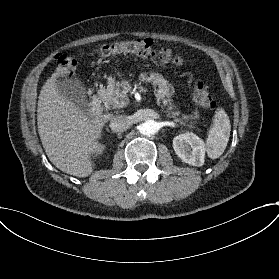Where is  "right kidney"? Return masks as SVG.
I'll use <instances>...</instances> for the list:
<instances>
[{
	"label": "right kidney",
	"instance_id": "1",
	"mask_svg": "<svg viewBox=\"0 0 279 279\" xmlns=\"http://www.w3.org/2000/svg\"><path fill=\"white\" fill-rule=\"evenodd\" d=\"M102 150H103V147H102V146L97 145V146H96V148L94 149V154H96V153H101V152H102Z\"/></svg>",
	"mask_w": 279,
	"mask_h": 279
}]
</instances>
